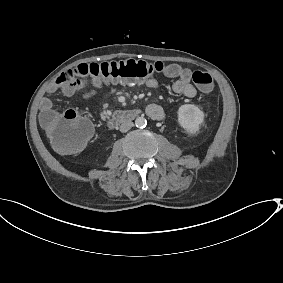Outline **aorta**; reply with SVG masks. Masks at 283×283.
<instances>
[{
  "mask_svg": "<svg viewBox=\"0 0 283 283\" xmlns=\"http://www.w3.org/2000/svg\"><path fill=\"white\" fill-rule=\"evenodd\" d=\"M135 125L138 128H144L147 125V121L144 117H137L135 120Z\"/></svg>",
  "mask_w": 283,
  "mask_h": 283,
  "instance_id": "aorta-1",
  "label": "aorta"
}]
</instances>
